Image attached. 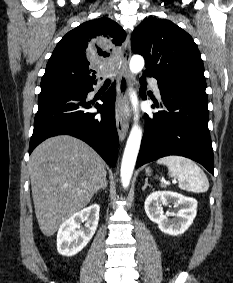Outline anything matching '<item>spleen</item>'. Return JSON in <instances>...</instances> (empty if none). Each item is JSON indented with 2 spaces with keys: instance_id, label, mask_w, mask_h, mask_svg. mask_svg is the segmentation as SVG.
<instances>
[{
  "instance_id": "obj_1",
  "label": "spleen",
  "mask_w": 233,
  "mask_h": 283,
  "mask_svg": "<svg viewBox=\"0 0 233 283\" xmlns=\"http://www.w3.org/2000/svg\"><path fill=\"white\" fill-rule=\"evenodd\" d=\"M157 164L168 167L169 176L179 182V188L194 193L206 192L209 188L207 176L192 160L182 156H166L157 160ZM161 187L168 184L161 182Z\"/></svg>"
}]
</instances>
